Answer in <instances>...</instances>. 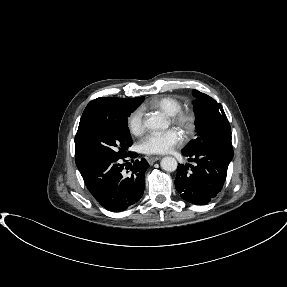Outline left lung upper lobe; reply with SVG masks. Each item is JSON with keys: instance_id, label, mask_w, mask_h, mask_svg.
Wrapping results in <instances>:
<instances>
[{"instance_id": "obj_1", "label": "left lung upper lobe", "mask_w": 287, "mask_h": 287, "mask_svg": "<svg viewBox=\"0 0 287 287\" xmlns=\"http://www.w3.org/2000/svg\"><path fill=\"white\" fill-rule=\"evenodd\" d=\"M192 95L196 98V138L189 142L182 153L193 154L211 145L231 141V127L222 105L197 90H193Z\"/></svg>"}]
</instances>
